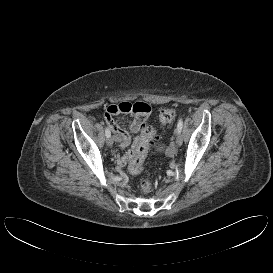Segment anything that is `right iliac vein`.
I'll return each mask as SVG.
<instances>
[{
	"label": "right iliac vein",
	"instance_id": "63e3f726",
	"mask_svg": "<svg viewBox=\"0 0 273 273\" xmlns=\"http://www.w3.org/2000/svg\"><path fill=\"white\" fill-rule=\"evenodd\" d=\"M106 143L109 147H112L113 146V139L111 137H108L106 140Z\"/></svg>",
	"mask_w": 273,
	"mask_h": 273
}]
</instances>
